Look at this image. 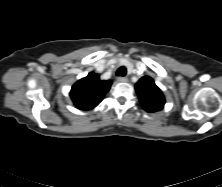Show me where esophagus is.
Returning <instances> with one entry per match:
<instances>
[{
	"mask_svg": "<svg viewBox=\"0 0 222 187\" xmlns=\"http://www.w3.org/2000/svg\"><path fill=\"white\" fill-rule=\"evenodd\" d=\"M117 81H118V82H127V81H128V78H127V77H118V78H117Z\"/></svg>",
	"mask_w": 222,
	"mask_h": 187,
	"instance_id": "obj_1",
	"label": "esophagus"
}]
</instances>
